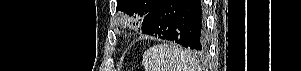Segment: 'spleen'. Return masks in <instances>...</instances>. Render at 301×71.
<instances>
[{
	"instance_id": "obj_1",
	"label": "spleen",
	"mask_w": 301,
	"mask_h": 71,
	"mask_svg": "<svg viewBox=\"0 0 301 71\" xmlns=\"http://www.w3.org/2000/svg\"><path fill=\"white\" fill-rule=\"evenodd\" d=\"M145 71H200L191 52L170 44L150 47L143 56Z\"/></svg>"
}]
</instances>
